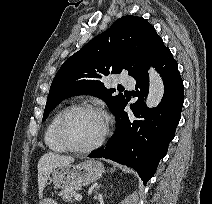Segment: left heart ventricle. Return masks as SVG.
<instances>
[{
  "label": "left heart ventricle",
  "instance_id": "1",
  "mask_svg": "<svg viewBox=\"0 0 212 204\" xmlns=\"http://www.w3.org/2000/svg\"><path fill=\"white\" fill-rule=\"evenodd\" d=\"M103 130L100 115L78 111L72 113L65 121L64 131L69 142L77 147H85L94 143Z\"/></svg>",
  "mask_w": 212,
  "mask_h": 204
}]
</instances>
